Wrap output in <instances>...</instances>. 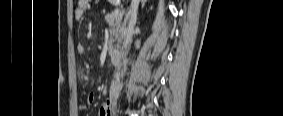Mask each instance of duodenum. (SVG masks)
I'll use <instances>...</instances> for the list:
<instances>
[{"instance_id": "1", "label": "duodenum", "mask_w": 283, "mask_h": 116, "mask_svg": "<svg viewBox=\"0 0 283 116\" xmlns=\"http://www.w3.org/2000/svg\"><path fill=\"white\" fill-rule=\"evenodd\" d=\"M111 60L112 63L116 66L119 67L122 62V53L118 50H115L111 54ZM120 86V79L118 75H115L113 81H112V89L117 90Z\"/></svg>"}]
</instances>
